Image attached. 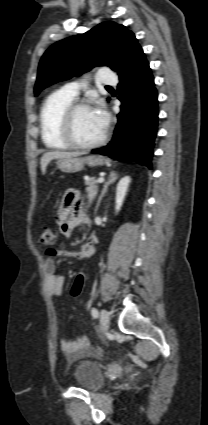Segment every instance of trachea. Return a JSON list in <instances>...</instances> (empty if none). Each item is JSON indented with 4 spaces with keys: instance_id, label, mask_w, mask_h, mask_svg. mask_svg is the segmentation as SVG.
Masks as SVG:
<instances>
[{
    "instance_id": "1",
    "label": "trachea",
    "mask_w": 208,
    "mask_h": 425,
    "mask_svg": "<svg viewBox=\"0 0 208 425\" xmlns=\"http://www.w3.org/2000/svg\"><path fill=\"white\" fill-rule=\"evenodd\" d=\"M107 88H111L110 86H106Z\"/></svg>"
}]
</instances>
